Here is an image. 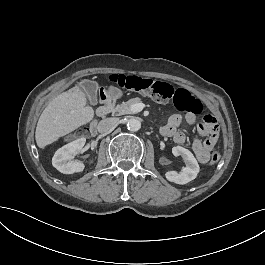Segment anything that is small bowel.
I'll return each mask as SVG.
<instances>
[{
    "mask_svg": "<svg viewBox=\"0 0 265 265\" xmlns=\"http://www.w3.org/2000/svg\"><path fill=\"white\" fill-rule=\"evenodd\" d=\"M188 124L195 123V117L188 114L185 117ZM183 118L178 114H173L169 117L167 123L161 128V134L170 137L176 144L182 145L186 142V135L179 127L182 124ZM199 134L205 137L204 140L195 139L192 143V151L196 159L202 163L210 161L211 152L219 143V129L217 123L213 124L211 128L207 127L204 122L197 125Z\"/></svg>",
    "mask_w": 265,
    "mask_h": 265,
    "instance_id": "obj_1",
    "label": "small bowel"
}]
</instances>
